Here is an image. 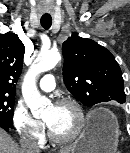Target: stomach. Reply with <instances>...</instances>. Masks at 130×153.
I'll list each match as a JSON object with an SVG mask.
<instances>
[{
  "mask_svg": "<svg viewBox=\"0 0 130 153\" xmlns=\"http://www.w3.org/2000/svg\"><path fill=\"white\" fill-rule=\"evenodd\" d=\"M119 134L115 115L100 108L90 117L88 126L76 140L72 153H114Z\"/></svg>",
  "mask_w": 130,
  "mask_h": 153,
  "instance_id": "stomach-1",
  "label": "stomach"
}]
</instances>
